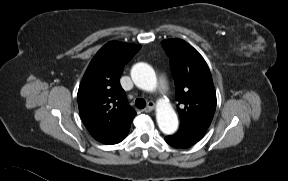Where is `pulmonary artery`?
Returning <instances> with one entry per match:
<instances>
[{
	"label": "pulmonary artery",
	"instance_id": "1",
	"mask_svg": "<svg viewBox=\"0 0 288 181\" xmlns=\"http://www.w3.org/2000/svg\"><path fill=\"white\" fill-rule=\"evenodd\" d=\"M158 84H159V88L162 90V91H165L167 89V84H166V81L164 79V77H160L159 80H158Z\"/></svg>",
	"mask_w": 288,
	"mask_h": 181
}]
</instances>
